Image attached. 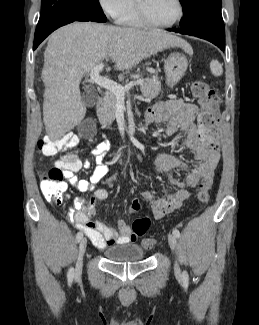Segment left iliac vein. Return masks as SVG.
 Returning <instances> with one entry per match:
<instances>
[{"instance_id": "1", "label": "left iliac vein", "mask_w": 259, "mask_h": 325, "mask_svg": "<svg viewBox=\"0 0 259 325\" xmlns=\"http://www.w3.org/2000/svg\"><path fill=\"white\" fill-rule=\"evenodd\" d=\"M168 242H169V246H170L171 250L175 251L176 247H177V239L174 234H168ZM174 272H175L176 277L181 276V271H180L177 261L174 264Z\"/></svg>"}]
</instances>
